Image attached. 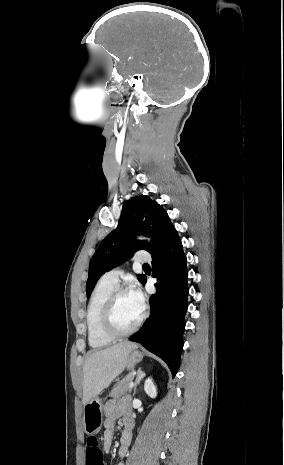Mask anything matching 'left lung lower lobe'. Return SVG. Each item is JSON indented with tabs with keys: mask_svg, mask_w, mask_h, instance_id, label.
Instances as JSON below:
<instances>
[{
	"mask_svg": "<svg viewBox=\"0 0 284 465\" xmlns=\"http://www.w3.org/2000/svg\"><path fill=\"white\" fill-rule=\"evenodd\" d=\"M187 259L175 230L164 247L152 255V266L158 283L151 296V313L145 327L131 336L147 350L162 358L173 377L178 371L183 348L185 314L188 308ZM146 282V277L141 283Z\"/></svg>",
	"mask_w": 284,
	"mask_h": 465,
	"instance_id": "0a47b994",
	"label": "left lung lower lobe"
}]
</instances>
